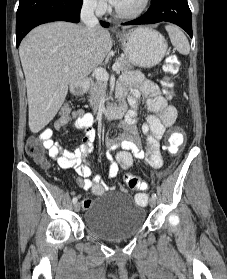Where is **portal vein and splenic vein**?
<instances>
[{
  "label": "portal vein and splenic vein",
  "mask_w": 227,
  "mask_h": 279,
  "mask_svg": "<svg viewBox=\"0 0 227 279\" xmlns=\"http://www.w3.org/2000/svg\"><path fill=\"white\" fill-rule=\"evenodd\" d=\"M113 71L119 72L120 71V65L118 63H115L112 66ZM64 71H68V67L64 68ZM96 79H101V80H105L108 81L109 79V74L107 73V71L101 67H96L93 71Z\"/></svg>",
  "instance_id": "18ae733b"
}]
</instances>
